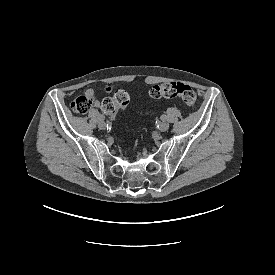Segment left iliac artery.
Here are the masks:
<instances>
[{
	"label": "left iliac artery",
	"mask_w": 275,
	"mask_h": 275,
	"mask_svg": "<svg viewBox=\"0 0 275 275\" xmlns=\"http://www.w3.org/2000/svg\"><path fill=\"white\" fill-rule=\"evenodd\" d=\"M161 119L165 120L166 119V115H162Z\"/></svg>",
	"instance_id": "1"
}]
</instances>
